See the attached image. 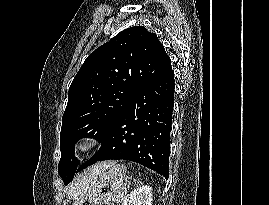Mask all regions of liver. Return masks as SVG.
Returning a JSON list of instances; mask_svg holds the SVG:
<instances>
[{"label": "liver", "instance_id": "1", "mask_svg": "<svg viewBox=\"0 0 269 205\" xmlns=\"http://www.w3.org/2000/svg\"><path fill=\"white\" fill-rule=\"evenodd\" d=\"M114 164V162H100L79 174L69 186L67 197L69 199H75L87 193L94 185L97 176Z\"/></svg>", "mask_w": 269, "mask_h": 205}]
</instances>
